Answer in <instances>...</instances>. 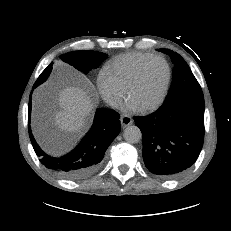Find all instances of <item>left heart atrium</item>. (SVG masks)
Instances as JSON below:
<instances>
[{
	"instance_id": "1",
	"label": "left heart atrium",
	"mask_w": 231,
	"mask_h": 231,
	"mask_svg": "<svg viewBox=\"0 0 231 231\" xmlns=\"http://www.w3.org/2000/svg\"><path fill=\"white\" fill-rule=\"evenodd\" d=\"M124 110L126 111H137L139 110L141 107L134 101L132 100H128L125 105H124Z\"/></svg>"
}]
</instances>
